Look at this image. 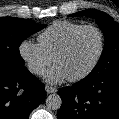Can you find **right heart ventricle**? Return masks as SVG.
<instances>
[{
    "mask_svg": "<svg viewBox=\"0 0 119 119\" xmlns=\"http://www.w3.org/2000/svg\"><path fill=\"white\" fill-rule=\"evenodd\" d=\"M82 26L71 21H56L38 36L39 45L53 59L70 35Z\"/></svg>",
    "mask_w": 119,
    "mask_h": 119,
    "instance_id": "obj_1",
    "label": "right heart ventricle"
}]
</instances>
